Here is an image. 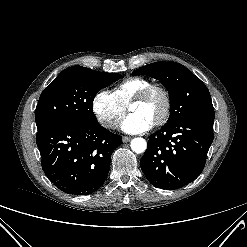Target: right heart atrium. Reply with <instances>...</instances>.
<instances>
[{
  "label": "right heart atrium",
  "instance_id": "d8ad5b80",
  "mask_svg": "<svg viewBox=\"0 0 247 247\" xmlns=\"http://www.w3.org/2000/svg\"><path fill=\"white\" fill-rule=\"evenodd\" d=\"M92 111L103 127L112 129L124 116L126 108L112 92L101 89L93 96Z\"/></svg>",
  "mask_w": 247,
  "mask_h": 247
}]
</instances>
